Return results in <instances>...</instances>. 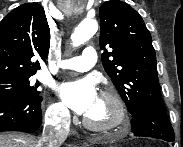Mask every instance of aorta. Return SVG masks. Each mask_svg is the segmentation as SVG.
<instances>
[{"label":"aorta","mask_w":183,"mask_h":147,"mask_svg":"<svg viewBox=\"0 0 183 147\" xmlns=\"http://www.w3.org/2000/svg\"><path fill=\"white\" fill-rule=\"evenodd\" d=\"M98 30L96 19H84L71 35L72 45L78 47L87 42Z\"/></svg>","instance_id":"1"}]
</instances>
